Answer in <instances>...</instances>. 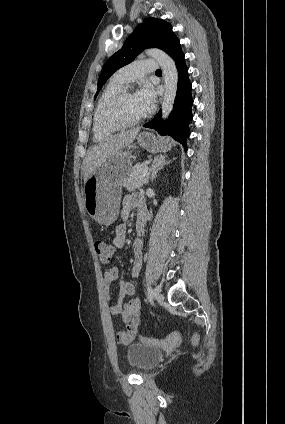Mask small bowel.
<instances>
[{
  "label": "small bowel",
  "mask_w": 285,
  "mask_h": 424,
  "mask_svg": "<svg viewBox=\"0 0 285 424\" xmlns=\"http://www.w3.org/2000/svg\"><path fill=\"white\" fill-rule=\"evenodd\" d=\"M133 208L138 210V221L142 218L147 220L148 213L145 208L144 197L140 193H131L124 196L122 200L121 218L126 221L130 217ZM113 245L116 248L124 247L126 243V225L119 224L115 229L113 237ZM134 253V262L131 269L133 277H138L143 262V242L136 238L132 243ZM119 283V298L116 304L109 307L110 316H121L125 329L115 334L118 344L126 345L135 339L141 326L142 303L138 296H135V287L120 272L117 266H111L105 270L103 274V291L102 297L105 303L111 300L110 286L112 282ZM130 297L125 302L124 299Z\"/></svg>",
  "instance_id": "obj_1"
}]
</instances>
